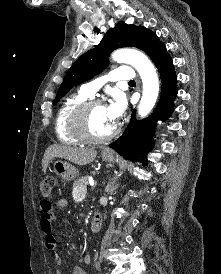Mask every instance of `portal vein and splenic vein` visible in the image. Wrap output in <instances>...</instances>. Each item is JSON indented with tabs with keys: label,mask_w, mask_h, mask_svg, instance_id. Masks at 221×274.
Returning <instances> with one entry per match:
<instances>
[{
	"label": "portal vein and splenic vein",
	"mask_w": 221,
	"mask_h": 274,
	"mask_svg": "<svg viewBox=\"0 0 221 274\" xmlns=\"http://www.w3.org/2000/svg\"><path fill=\"white\" fill-rule=\"evenodd\" d=\"M86 192H87V189L85 188V189L80 193L81 199H84V198H85Z\"/></svg>",
	"instance_id": "18ae733b"
}]
</instances>
